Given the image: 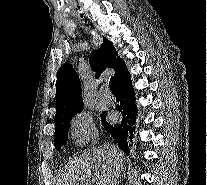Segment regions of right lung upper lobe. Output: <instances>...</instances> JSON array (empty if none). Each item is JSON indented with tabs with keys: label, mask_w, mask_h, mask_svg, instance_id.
Returning <instances> with one entry per match:
<instances>
[{
	"label": "right lung upper lobe",
	"mask_w": 207,
	"mask_h": 185,
	"mask_svg": "<svg viewBox=\"0 0 207 185\" xmlns=\"http://www.w3.org/2000/svg\"><path fill=\"white\" fill-rule=\"evenodd\" d=\"M103 39L101 48L91 53V67L97 74L107 67L114 69L117 83L129 73L124 61L115 58L117 52L112 43ZM56 99L55 128H58L70 123L71 118L83 109L80 80L71 64L63 65L57 73Z\"/></svg>",
	"instance_id": "obj_1"
}]
</instances>
